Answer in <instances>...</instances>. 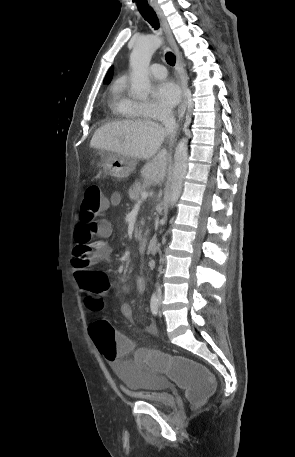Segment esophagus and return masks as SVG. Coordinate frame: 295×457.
Returning <instances> with one entry per match:
<instances>
[{
	"label": "esophagus",
	"mask_w": 295,
	"mask_h": 457,
	"mask_svg": "<svg viewBox=\"0 0 295 457\" xmlns=\"http://www.w3.org/2000/svg\"><path fill=\"white\" fill-rule=\"evenodd\" d=\"M153 9L155 11V13L157 14L159 20H160V23H161V26L166 34V37L175 53V56H176V71H177V74L180 78V84H181V89H182V103L179 107V110H178V120L180 121L183 117H184V114L186 112V108H187V84H188V81H187V77H186V74H185V71H184V68H183V64H182V60H181V55H180V52H179V49L177 47V44L175 42V39L172 35V32H171V29L166 21V18L163 14V12L161 11V9L159 8V6L157 5H153Z\"/></svg>",
	"instance_id": "34e87169"
}]
</instances>
